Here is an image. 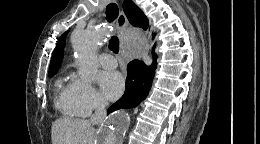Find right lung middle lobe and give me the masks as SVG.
I'll return each mask as SVG.
<instances>
[{
  "label": "right lung middle lobe",
  "mask_w": 260,
  "mask_h": 144,
  "mask_svg": "<svg viewBox=\"0 0 260 144\" xmlns=\"http://www.w3.org/2000/svg\"><path fill=\"white\" fill-rule=\"evenodd\" d=\"M56 73H57V71L49 72V76L51 77V76L55 75Z\"/></svg>",
  "instance_id": "1"
}]
</instances>
